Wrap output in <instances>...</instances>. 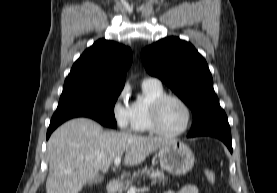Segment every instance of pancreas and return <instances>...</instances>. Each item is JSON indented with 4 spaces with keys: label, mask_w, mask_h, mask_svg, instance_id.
<instances>
[{
    "label": "pancreas",
    "mask_w": 277,
    "mask_h": 193,
    "mask_svg": "<svg viewBox=\"0 0 277 193\" xmlns=\"http://www.w3.org/2000/svg\"><path fill=\"white\" fill-rule=\"evenodd\" d=\"M138 178L140 179L142 178L143 180L145 178H149L152 185L156 183L164 185L167 181V177L165 176L162 170L154 169L153 167L151 168L144 167L141 170L134 172L129 179L119 184L120 192L122 193V191H127L130 187H132L133 182Z\"/></svg>",
    "instance_id": "pancreas-1"
}]
</instances>
